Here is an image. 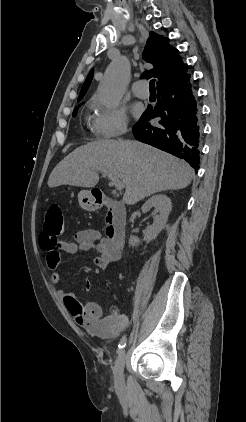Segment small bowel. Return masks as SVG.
I'll return each instance as SVG.
<instances>
[{"label":"small bowel","mask_w":246,"mask_h":422,"mask_svg":"<svg viewBox=\"0 0 246 422\" xmlns=\"http://www.w3.org/2000/svg\"><path fill=\"white\" fill-rule=\"evenodd\" d=\"M41 248L46 252L47 266L53 271L51 282L58 284L61 274L58 267L61 262V252L77 254L81 251L96 249L99 253L94 257V265L105 270L112 262L120 258V248L105 236L94 229L77 231L71 240H60L57 236L44 231L39 236ZM91 289V282L86 281L85 290ZM59 298L63 301L68 312L75 322L86 329L89 333L104 338L116 337L128 325V318L117 309H112L109 314L104 312L102 306L96 303L81 304L72 293L63 290L58 291Z\"/></svg>","instance_id":"c3829d8e"}]
</instances>
